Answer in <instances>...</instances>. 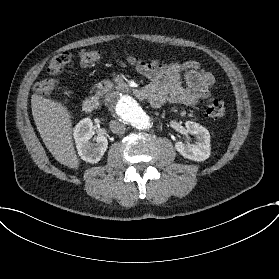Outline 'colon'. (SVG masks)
Returning <instances> with one entry per match:
<instances>
[{"instance_id":"obj_1","label":"colon","mask_w":279,"mask_h":279,"mask_svg":"<svg viewBox=\"0 0 279 279\" xmlns=\"http://www.w3.org/2000/svg\"><path fill=\"white\" fill-rule=\"evenodd\" d=\"M79 56V65L85 68L97 61H100L104 57V52L100 49H85L80 52ZM70 59L71 55L69 52H60L55 54L47 62V72L52 75L60 73ZM57 88V80L44 79L35 87V91L40 95L48 96ZM206 109L207 114L212 118H222L226 114V105L221 100H210Z\"/></svg>"}]
</instances>
